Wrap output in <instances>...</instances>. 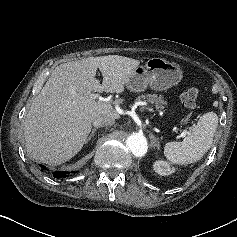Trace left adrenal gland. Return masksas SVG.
I'll list each match as a JSON object with an SVG mask.
<instances>
[{"label": "left adrenal gland", "mask_w": 237, "mask_h": 237, "mask_svg": "<svg viewBox=\"0 0 237 237\" xmlns=\"http://www.w3.org/2000/svg\"><path fill=\"white\" fill-rule=\"evenodd\" d=\"M149 137L151 139V147L159 150L160 149L159 139H157L152 133L149 134Z\"/></svg>", "instance_id": "left-adrenal-gland-1"}]
</instances>
